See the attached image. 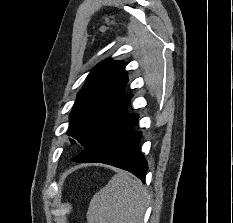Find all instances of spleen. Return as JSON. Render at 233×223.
I'll use <instances>...</instances> for the list:
<instances>
[{
    "label": "spleen",
    "mask_w": 233,
    "mask_h": 223,
    "mask_svg": "<svg viewBox=\"0 0 233 223\" xmlns=\"http://www.w3.org/2000/svg\"><path fill=\"white\" fill-rule=\"evenodd\" d=\"M148 193L139 179L125 171L111 177L93 195L86 213L88 223H143Z\"/></svg>",
    "instance_id": "3e777b00"
}]
</instances>
